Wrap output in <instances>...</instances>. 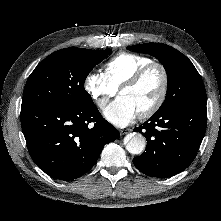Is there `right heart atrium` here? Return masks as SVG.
Listing matches in <instances>:
<instances>
[{
	"instance_id": "right-heart-atrium-1",
	"label": "right heart atrium",
	"mask_w": 221,
	"mask_h": 221,
	"mask_svg": "<svg viewBox=\"0 0 221 221\" xmlns=\"http://www.w3.org/2000/svg\"><path fill=\"white\" fill-rule=\"evenodd\" d=\"M83 88L100 109L107 105L110 98L115 96L118 90L108 81L104 73L99 71H91L86 74L83 80Z\"/></svg>"
}]
</instances>
